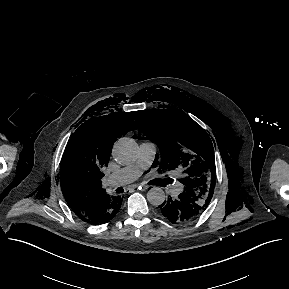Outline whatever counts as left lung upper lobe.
<instances>
[{
    "instance_id": "obj_1",
    "label": "left lung upper lobe",
    "mask_w": 289,
    "mask_h": 289,
    "mask_svg": "<svg viewBox=\"0 0 289 289\" xmlns=\"http://www.w3.org/2000/svg\"><path fill=\"white\" fill-rule=\"evenodd\" d=\"M138 119L139 136L157 143L161 150V167L177 169L184 192L210 203L215 184V159L211 139L203 128L183 111L147 110ZM200 194V195H199Z\"/></svg>"
}]
</instances>
